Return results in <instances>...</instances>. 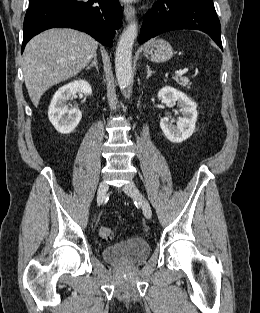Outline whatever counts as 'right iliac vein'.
<instances>
[{
  "mask_svg": "<svg viewBox=\"0 0 260 313\" xmlns=\"http://www.w3.org/2000/svg\"><path fill=\"white\" fill-rule=\"evenodd\" d=\"M108 191V184L106 181H103L100 183L98 191H97V203L98 204H102L105 196L107 194Z\"/></svg>",
  "mask_w": 260,
  "mask_h": 313,
  "instance_id": "right-iliac-vein-1",
  "label": "right iliac vein"
}]
</instances>
